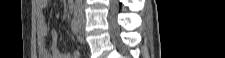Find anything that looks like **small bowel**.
Listing matches in <instances>:
<instances>
[{
  "label": "small bowel",
  "instance_id": "small-bowel-1",
  "mask_svg": "<svg viewBox=\"0 0 225 58\" xmlns=\"http://www.w3.org/2000/svg\"><path fill=\"white\" fill-rule=\"evenodd\" d=\"M48 0H36L37 7V33H38V50L42 58H80V52L78 50L72 53L62 52L57 39L58 35L56 31L50 32L51 47L49 53L44 45V38L48 35V24L43 15V10L48 6Z\"/></svg>",
  "mask_w": 225,
  "mask_h": 58
}]
</instances>
